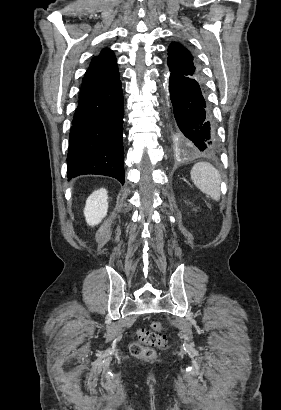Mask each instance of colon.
<instances>
[{
  "label": "colon",
  "mask_w": 281,
  "mask_h": 410,
  "mask_svg": "<svg viewBox=\"0 0 281 410\" xmlns=\"http://www.w3.org/2000/svg\"><path fill=\"white\" fill-rule=\"evenodd\" d=\"M164 331V324L158 321L151 322L149 327H141L137 332L138 340L130 345V352L136 357L153 358L155 355L154 347H164L168 342Z\"/></svg>",
  "instance_id": "obj_1"
}]
</instances>
